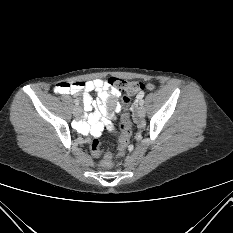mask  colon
I'll list each match as a JSON object with an SVG mask.
<instances>
[{"label":"colon","instance_id":"5ec220e1","mask_svg":"<svg viewBox=\"0 0 233 233\" xmlns=\"http://www.w3.org/2000/svg\"><path fill=\"white\" fill-rule=\"evenodd\" d=\"M108 83L117 92L123 94L122 105L125 109V113L123 115V122L120 125V136L117 147V157H121L125 154L131 138V125L129 121L128 109L131 105L132 97L135 94L143 91L145 88L152 89V86L144 85L143 83L139 82H129L114 77L109 78ZM90 149L94 156H100L102 154L101 144L97 138L91 141ZM101 165L104 168H109L112 165V155L110 153H106L104 155Z\"/></svg>","mask_w":233,"mask_h":233}]
</instances>
